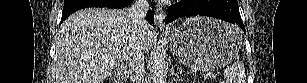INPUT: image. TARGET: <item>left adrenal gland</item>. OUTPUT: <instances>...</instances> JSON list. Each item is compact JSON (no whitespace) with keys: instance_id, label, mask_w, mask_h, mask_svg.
Returning a JSON list of instances; mask_svg holds the SVG:
<instances>
[{"instance_id":"1","label":"left adrenal gland","mask_w":307,"mask_h":83,"mask_svg":"<svg viewBox=\"0 0 307 83\" xmlns=\"http://www.w3.org/2000/svg\"><path fill=\"white\" fill-rule=\"evenodd\" d=\"M172 74H174V72H172ZM176 80H180V78L179 77H177V79Z\"/></svg>"}]
</instances>
